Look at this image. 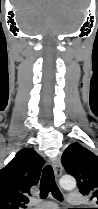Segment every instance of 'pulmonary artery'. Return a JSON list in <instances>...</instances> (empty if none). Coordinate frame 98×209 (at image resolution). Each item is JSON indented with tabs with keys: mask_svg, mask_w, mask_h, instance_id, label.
<instances>
[{
	"mask_svg": "<svg viewBox=\"0 0 98 209\" xmlns=\"http://www.w3.org/2000/svg\"><path fill=\"white\" fill-rule=\"evenodd\" d=\"M67 202L72 206H78L83 203V198L77 192H70L67 196ZM31 209H58V206L53 202H45Z\"/></svg>",
	"mask_w": 98,
	"mask_h": 209,
	"instance_id": "e3ab8cb5",
	"label": "pulmonary artery"
}]
</instances>
